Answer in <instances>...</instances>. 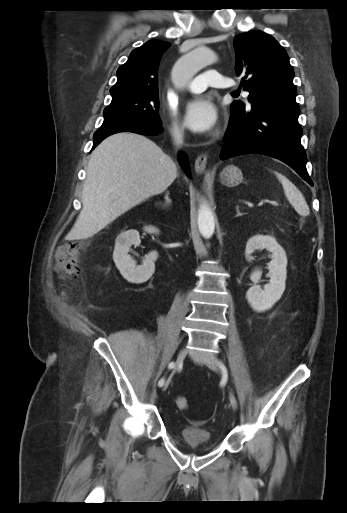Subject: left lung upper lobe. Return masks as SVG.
Here are the masks:
<instances>
[{
    "instance_id": "obj_1",
    "label": "left lung upper lobe",
    "mask_w": 347,
    "mask_h": 513,
    "mask_svg": "<svg viewBox=\"0 0 347 513\" xmlns=\"http://www.w3.org/2000/svg\"><path fill=\"white\" fill-rule=\"evenodd\" d=\"M235 70L244 80L249 101L296 98L293 84L294 71L285 49L270 35L262 31H249L235 36ZM234 101L231 107H244Z\"/></svg>"
}]
</instances>
